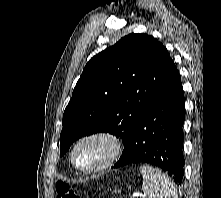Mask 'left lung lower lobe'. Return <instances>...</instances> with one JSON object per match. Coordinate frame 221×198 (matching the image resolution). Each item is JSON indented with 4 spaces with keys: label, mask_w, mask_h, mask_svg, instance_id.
I'll list each match as a JSON object with an SVG mask.
<instances>
[{
    "label": "left lung lower lobe",
    "mask_w": 221,
    "mask_h": 198,
    "mask_svg": "<svg viewBox=\"0 0 221 198\" xmlns=\"http://www.w3.org/2000/svg\"><path fill=\"white\" fill-rule=\"evenodd\" d=\"M185 101L179 72L173 65L168 78L142 114L114 168L148 163L162 168L181 184L184 175L182 146Z\"/></svg>",
    "instance_id": "0a47b994"
}]
</instances>
